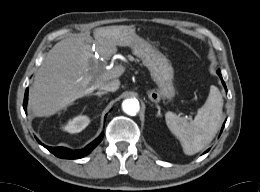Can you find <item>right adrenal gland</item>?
<instances>
[{
  "label": "right adrenal gland",
  "instance_id": "1",
  "mask_svg": "<svg viewBox=\"0 0 260 192\" xmlns=\"http://www.w3.org/2000/svg\"><path fill=\"white\" fill-rule=\"evenodd\" d=\"M104 94H107V92H105V91H98V92H96V93H92V94H90L89 96H97V97H102V95H104Z\"/></svg>",
  "mask_w": 260,
  "mask_h": 192
}]
</instances>
